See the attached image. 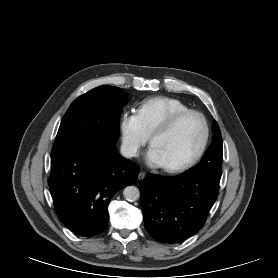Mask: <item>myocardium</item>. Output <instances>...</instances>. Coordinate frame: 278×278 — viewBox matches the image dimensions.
Here are the masks:
<instances>
[{"mask_svg":"<svg viewBox=\"0 0 278 278\" xmlns=\"http://www.w3.org/2000/svg\"><path fill=\"white\" fill-rule=\"evenodd\" d=\"M188 116H197L198 118H200V120L202 122L203 138H202L201 144H200L199 148L197 149V151L187 160H185L179 164H176V165L163 166V169L166 172L179 173V172H183V171L191 168L193 165H195L200 160V158L203 156V154L208 146V142H209V138H210L209 123L203 113H201L197 110H192V109L178 112V113L174 114L173 116H171L169 119H167L165 122H163L161 125L156 127L152 131L151 136H150L151 144L153 143V140L155 137H157L158 135L170 132L177 126V124L182 119H184L185 117H188Z\"/></svg>","mask_w":278,"mask_h":278,"instance_id":"obj_1","label":"myocardium"}]
</instances>
